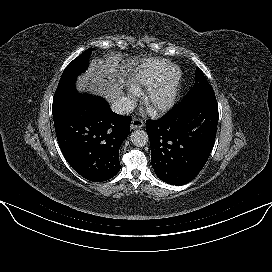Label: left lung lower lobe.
Listing matches in <instances>:
<instances>
[{
  "label": "left lung lower lobe",
  "instance_id": "obj_1",
  "mask_svg": "<svg viewBox=\"0 0 272 272\" xmlns=\"http://www.w3.org/2000/svg\"><path fill=\"white\" fill-rule=\"evenodd\" d=\"M217 124L216 97L181 101L161 119L147 121L151 164L157 177L177 186L192 181L208 160Z\"/></svg>",
  "mask_w": 272,
  "mask_h": 272
}]
</instances>
